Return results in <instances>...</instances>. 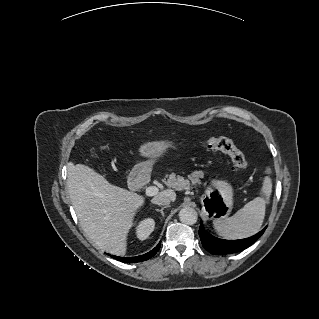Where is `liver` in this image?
Listing matches in <instances>:
<instances>
[{"instance_id":"6515ba94","label":"liver","mask_w":319,"mask_h":319,"mask_svg":"<svg viewBox=\"0 0 319 319\" xmlns=\"http://www.w3.org/2000/svg\"><path fill=\"white\" fill-rule=\"evenodd\" d=\"M67 190L85 235L102 251L124 255L127 234L134 225L135 211L144 204V197L110 184L84 165H76L69 172ZM158 195L171 201L176 199L172 189Z\"/></svg>"}]
</instances>
